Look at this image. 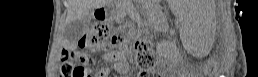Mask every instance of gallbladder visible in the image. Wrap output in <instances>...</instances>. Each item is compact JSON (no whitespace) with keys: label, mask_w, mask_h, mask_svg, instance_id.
<instances>
[{"label":"gallbladder","mask_w":258,"mask_h":77,"mask_svg":"<svg viewBox=\"0 0 258 77\" xmlns=\"http://www.w3.org/2000/svg\"><path fill=\"white\" fill-rule=\"evenodd\" d=\"M89 21L90 16L70 22L64 29L65 39L69 42H76L82 36L85 28L89 24Z\"/></svg>","instance_id":"gallbladder-1"}]
</instances>
